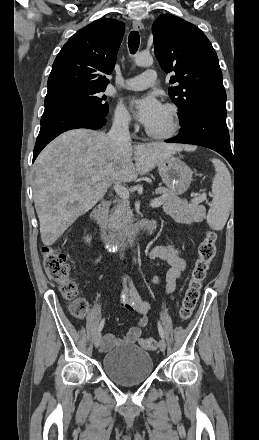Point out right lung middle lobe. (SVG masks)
Here are the masks:
<instances>
[{"label":"right lung middle lobe","instance_id":"obj_1","mask_svg":"<svg viewBox=\"0 0 259 440\" xmlns=\"http://www.w3.org/2000/svg\"><path fill=\"white\" fill-rule=\"evenodd\" d=\"M103 91V88L76 87L47 94L44 111L78 108L106 116L108 104L105 102L106 96L101 94Z\"/></svg>","mask_w":259,"mask_h":440}]
</instances>
